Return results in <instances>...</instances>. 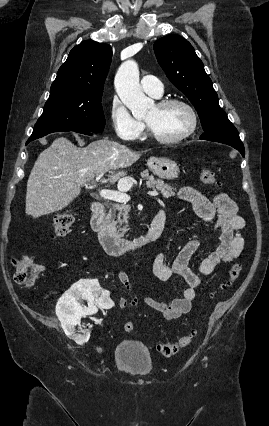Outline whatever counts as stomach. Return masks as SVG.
<instances>
[{
    "label": "stomach",
    "instance_id": "obj_1",
    "mask_svg": "<svg viewBox=\"0 0 269 426\" xmlns=\"http://www.w3.org/2000/svg\"><path fill=\"white\" fill-rule=\"evenodd\" d=\"M147 166L155 175L167 180L177 178L180 172L176 162L166 158L151 157L147 161Z\"/></svg>",
    "mask_w": 269,
    "mask_h": 426
}]
</instances>
